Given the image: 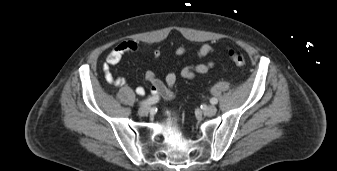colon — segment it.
Instances as JSON below:
<instances>
[{"instance_id":"1","label":"colon","mask_w":337,"mask_h":171,"mask_svg":"<svg viewBox=\"0 0 337 171\" xmlns=\"http://www.w3.org/2000/svg\"><path fill=\"white\" fill-rule=\"evenodd\" d=\"M229 58L237 66H244L245 63H246V59H245L244 54L240 51H237V50H231L229 52Z\"/></svg>"}]
</instances>
